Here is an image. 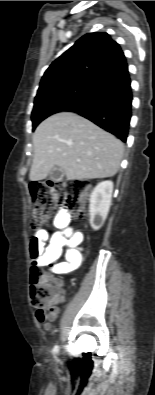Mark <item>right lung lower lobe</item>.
Segmentation results:
<instances>
[{"instance_id":"obj_1","label":"right lung lower lobe","mask_w":155,"mask_h":395,"mask_svg":"<svg viewBox=\"0 0 155 395\" xmlns=\"http://www.w3.org/2000/svg\"><path fill=\"white\" fill-rule=\"evenodd\" d=\"M129 71L106 78L100 86L65 111L75 112L126 142L132 107Z\"/></svg>"}]
</instances>
